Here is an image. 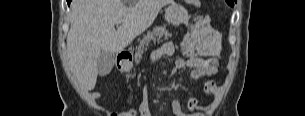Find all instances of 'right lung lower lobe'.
<instances>
[{
	"label": "right lung lower lobe",
	"instance_id": "98d812e1",
	"mask_svg": "<svg viewBox=\"0 0 305 116\" xmlns=\"http://www.w3.org/2000/svg\"><path fill=\"white\" fill-rule=\"evenodd\" d=\"M68 4H70L71 0H67Z\"/></svg>",
	"mask_w": 305,
	"mask_h": 116
}]
</instances>
